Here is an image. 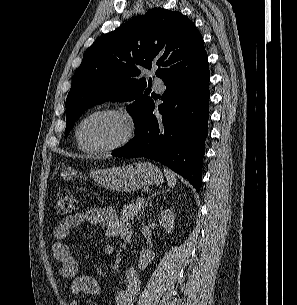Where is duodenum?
Returning a JSON list of instances; mask_svg holds the SVG:
<instances>
[{
  "label": "duodenum",
  "instance_id": "1",
  "mask_svg": "<svg viewBox=\"0 0 297 305\" xmlns=\"http://www.w3.org/2000/svg\"><path fill=\"white\" fill-rule=\"evenodd\" d=\"M132 235H133V229H131V228H128V229L124 230V232H123V238L126 240H130Z\"/></svg>",
  "mask_w": 297,
  "mask_h": 305
}]
</instances>
